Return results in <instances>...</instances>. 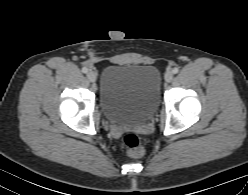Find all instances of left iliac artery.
Returning <instances> with one entry per match:
<instances>
[{"instance_id":"44dca946","label":"left iliac artery","mask_w":248,"mask_h":195,"mask_svg":"<svg viewBox=\"0 0 248 195\" xmlns=\"http://www.w3.org/2000/svg\"><path fill=\"white\" fill-rule=\"evenodd\" d=\"M172 71H173L174 74H176V73L179 72V69L175 67Z\"/></svg>"}]
</instances>
